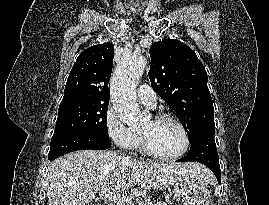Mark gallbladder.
Instances as JSON below:
<instances>
[{
  "mask_svg": "<svg viewBox=\"0 0 269 205\" xmlns=\"http://www.w3.org/2000/svg\"><path fill=\"white\" fill-rule=\"evenodd\" d=\"M88 205H97V204H88Z\"/></svg>",
  "mask_w": 269,
  "mask_h": 205,
  "instance_id": "obj_1",
  "label": "gallbladder"
}]
</instances>
